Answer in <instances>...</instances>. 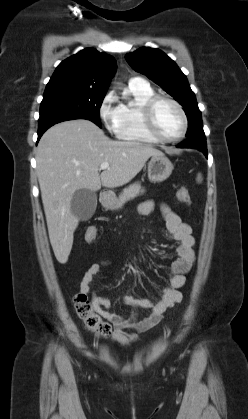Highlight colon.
<instances>
[{"label": "colon", "mask_w": 248, "mask_h": 419, "mask_svg": "<svg viewBox=\"0 0 248 419\" xmlns=\"http://www.w3.org/2000/svg\"><path fill=\"white\" fill-rule=\"evenodd\" d=\"M177 200L185 205L190 204V193L187 188H180L176 193ZM87 242H93L97 238V230L93 227L86 231ZM74 305L77 315L82 319L84 327L98 336L106 337L111 332V326L104 322L95 312L93 305L84 293H77L74 297Z\"/></svg>", "instance_id": "1"}]
</instances>
